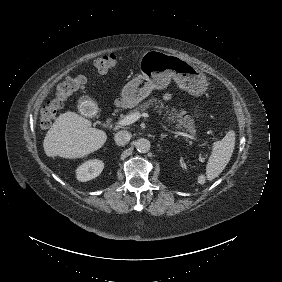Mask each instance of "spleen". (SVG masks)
Returning a JSON list of instances; mask_svg holds the SVG:
<instances>
[{"mask_svg": "<svg viewBox=\"0 0 282 282\" xmlns=\"http://www.w3.org/2000/svg\"><path fill=\"white\" fill-rule=\"evenodd\" d=\"M235 147V132L229 131L225 137L213 143L212 153L206 165V176L199 175L198 183L203 185L208 180H213L225 169L229 163Z\"/></svg>", "mask_w": 282, "mask_h": 282, "instance_id": "1", "label": "spleen"}]
</instances>
